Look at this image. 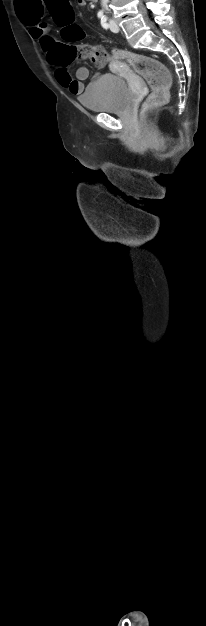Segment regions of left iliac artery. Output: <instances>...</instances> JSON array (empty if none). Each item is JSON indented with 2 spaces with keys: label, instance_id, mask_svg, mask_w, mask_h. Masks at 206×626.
<instances>
[{
  "label": "left iliac artery",
  "instance_id": "left-iliac-artery-1",
  "mask_svg": "<svg viewBox=\"0 0 206 626\" xmlns=\"http://www.w3.org/2000/svg\"><path fill=\"white\" fill-rule=\"evenodd\" d=\"M101 25H102V27H103V28H105V29H107V28L109 27V25H108V23H107V18H106V17H103V18L101 19Z\"/></svg>",
  "mask_w": 206,
  "mask_h": 626
}]
</instances>
